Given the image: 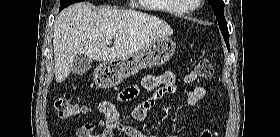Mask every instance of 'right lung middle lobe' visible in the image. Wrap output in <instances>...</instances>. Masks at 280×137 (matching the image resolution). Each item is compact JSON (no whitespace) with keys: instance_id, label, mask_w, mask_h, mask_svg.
Segmentation results:
<instances>
[{"instance_id":"1","label":"right lung middle lobe","mask_w":280,"mask_h":137,"mask_svg":"<svg viewBox=\"0 0 280 137\" xmlns=\"http://www.w3.org/2000/svg\"><path fill=\"white\" fill-rule=\"evenodd\" d=\"M81 1H83V0H61L59 11L63 10L64 8L68 7L71 4L81 2Z\"/></svg>"}]
</instances>
